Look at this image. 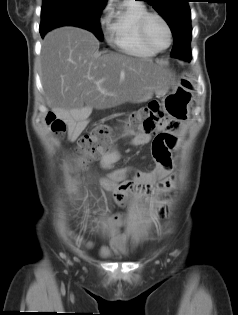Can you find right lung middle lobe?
Wrapping results in <instances>:
<instances>
[{
	"mask_svg": "<svg viewBox=\"0 0 238 315\" xmlns=\"http://www.w3.org/2000/svg\"><path fill=\"white\" fill-rule=\"evenodd\" d=\"M105 3L97 0H43L40 34L65 25L77 26L92 32L102 40L100 14Z\"/></svg>",
	"mask_w": 238,
	"mask_h": 315,
	"instance_id": "obj_1",
	"label": "right lung middle lobe"
}]
</instances>
